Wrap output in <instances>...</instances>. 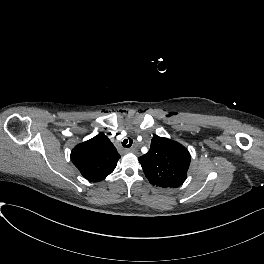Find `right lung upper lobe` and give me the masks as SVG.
Segmentation results:
<instances>
[{
    "label": "right lung upper lobe",
    "instance_id": "1",
    "mask_svg": "<svg viewBox=\"0 0 264 264\" xmlns=\"http://www.w3.org/2000/svg\"><path fill=\"white\" fill-rule=\"evenodd\" d=\"M119 158L116 148L103 133L78 144L71 152L73 164L92 182L101 181L112 173Z\"/></svg>",
    "mask_w": 264,
    "mask_h": 264
}]
</instances>
